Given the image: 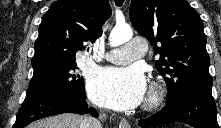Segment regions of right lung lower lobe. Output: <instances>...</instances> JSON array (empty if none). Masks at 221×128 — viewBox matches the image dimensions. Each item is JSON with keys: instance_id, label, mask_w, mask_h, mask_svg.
<instances>
[{"instance_id": "right-lung-lower-lobe-1", "label": "right lung lower lobe", "mask_w": 221, "mask_h": 128, "mask_svg": "<svg viewBox=\"0 0 221 128\" xmlns=\"http://www.w3.org/2000/svg\"><path fill=\"white\" fill-rule=\"evenodd\" d=\"M85 99V94L65 88H53L26 96L13 128H24L35 120L61 113H90L97 117V111L89 108Z\"/></svg>"}]
</instances>
